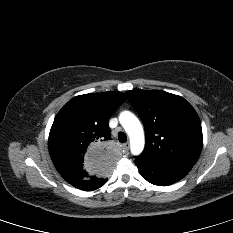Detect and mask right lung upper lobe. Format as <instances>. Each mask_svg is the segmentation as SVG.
Segmentation results:
<instances>
[{
    "label": "right lung upper lobe",
    "mask_w": 233,
    "mask_h": 233,
    "mask_svg": "<svg viewBox=\"0 0 233 233\" xmlns=\"http://www.w3.org/2000/svg\"><path fill=\"white\" fill-rule=\"evenodd\" d=\"M125 99L116 91L79 95L58 112L48 147L54 166L68 183L100 180L110 173L114 152L107 143L108 120Z\"/></svg>",
    "instance_id": "obj_1"
}]
</instances>
